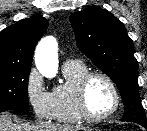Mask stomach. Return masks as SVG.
<instances>
[{
	"label": "stomach",
	"mask_w": 147,
	"mask_h": 131,
	"mask_svg": "<svg viewBox=\"0 0 147 131\" xmlns=\"http://www.w3.org/2000/svg\"><path fill=\"white\" fill-rule=\"evenodd\" d=\"M84 131H99V130L96 128H86Z\"/></svg>",
	"instance_id": "0dacf381"
}]
</instances>
